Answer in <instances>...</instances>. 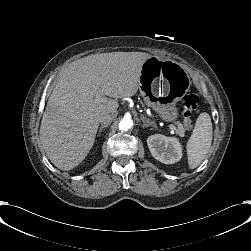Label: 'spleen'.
I'll return each mask as SVG.
<instances>
[{"label":"spleen","mask_w":251,"mask_h":251,"mask_svg":"<svg viewBox=\"0 0 251 251\" xmlns=\"http://www.w3.org/2000/svg\"><path fill=\"white\" fill-rule=\"evenodd\" d=\"M212 132L210 115L206 112L201 113L196 120L193 133L186 145L190 169H195L199 166L208 154L212 143Z\"/></svg>","instance_id":"spleen-1"}]
</instances>
